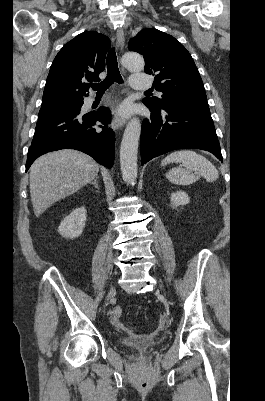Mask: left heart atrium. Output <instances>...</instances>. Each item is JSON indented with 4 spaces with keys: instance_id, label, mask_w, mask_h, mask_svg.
Instances as JSON below:
<instances>
[{
    "instance_id": "39dd6f15",
    "label": "left heart atrium",
    "mask_w": 265,
    "mask_h": 401,
    "mask_svg": "<svg viewBox=\"0 0 265 401\" xmlns=\"http://www.w3.org/2000/svg\"><path fill=\"white\" fill-rule=\"evenodd\" d=\"M132 112V108L129 104L125 103L118 109V114L122 117L128 116Z\"/></svg>"
}]
</instances>
